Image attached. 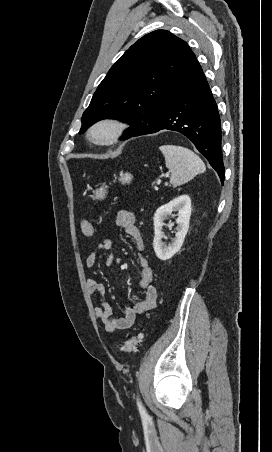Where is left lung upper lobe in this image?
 Instances as JSON below:
<instances>
[{"instance_id":"obj_1","label":"left lung upper lobe","mask_w":272,"mask_h":452,"mask_svg":"<svg viewBox=\"0 0 272 452\" xmlns=\"http://www.w3.org/2000/svg\"><path fill=\"white\" fill-rule=\"evenodd\" d=\"M195 59L187 43L166 30L143 36L119 58L98 86L83 113L80 133L105 118L129 123L125 135L153 126Z\"/></svg>"}]
</instances>
